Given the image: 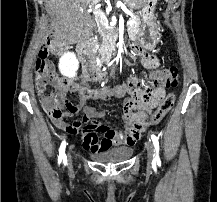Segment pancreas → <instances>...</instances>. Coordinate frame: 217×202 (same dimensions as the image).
Wrapping results in <instances>:
<instances>
[{"label": "pancreas", "instance_id": "obj_1", "mask_svg": "<svg viewBox=\"0 0 217 202\" xmlns=\"http://www.w3.org/2000/svg\"><path fill=\"white\" fill-rule=\"evenodd\" d=\"M133 22H136V24H134V26H129L127 32L129 34V38H135L136 34H138L139 30H140V20H138V18H133ZM118 38V32L117 30H115V28H112V30H109V34H107V36H103V40H104V48H102L100 54L103 58V60H105L106 56V52L107 50H114V42H116Z\"/></svg>", "mask_w": 217, "mask_h": 202}]
</instances>
